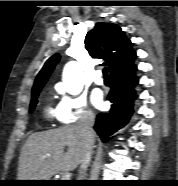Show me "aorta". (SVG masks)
<instances>
[{
    "label": "aorta",
    "mask_w": 178,
    "mask_h": 186,
    "mask_svg": "<svg viewBox=\"0 0 178 186\" xmlns=\"http://www.w3.org/2000/svg\"><path fill=\"white\" fill-rule=\"evenodd\" d=\"M62 80L68 93L78 95L83 89L81 66L75 61L67 63L63 70Z\"/></svg>",
    "instance_id": "obj_1"
}]
</instances>
